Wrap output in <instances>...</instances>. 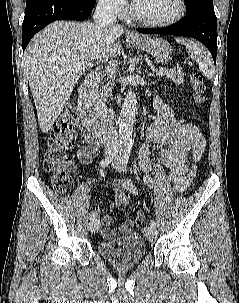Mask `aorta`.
<instances>
[{
  "label": "aorta",
  "instance_id": "1",
  "mask_svg": "<svg viewBox=\"0 0 239 303\" xmlns=\"http://www.w3.org/2000/svg\"><path fill=\"white\" fill-rule=\"evenodd\" d=\"M137 112V99L132 89H129L122 104L119 116V136L124 143L131 142L135 115Z\"/></svg>",
  "mask_w": 239,
  "mask_h": 303
}]
</instances>
